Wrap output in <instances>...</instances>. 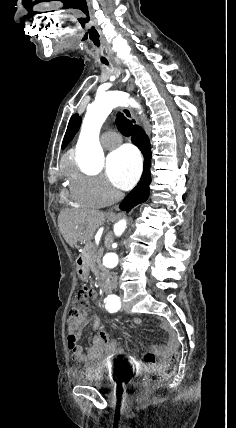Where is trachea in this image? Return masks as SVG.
<instances>
[{"label": "trachea", "mask_w": 236, "mask_h": 428, "mask_svg": "<svg viewBox=\"0 0 236 428\" xmlns=\"http://www.w3.org/2000/svg\"><path fill=\"white\" fill-rule=\"evenodd\" d=\"M86 34L89 36L91 50L96 52V59L99 60L100 64L108 65V55L106 51H102L100 48L101 40L97 28L94 26L93 15L86 13L84 15ZM116 124L119 131L125 135L130 136L132 134V124L123 113H117Z\"/></svg>", "instance_id": "obj_1"}]
</instances>
